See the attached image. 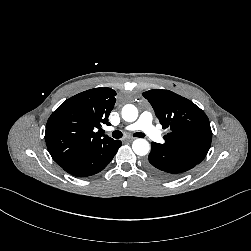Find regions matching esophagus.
<instances>
[{
	"mask_svg": "<svg viewBox=\"0 0 251 251\" xmlns=\"http://www.w3.org/2000/svg\"><path fill=\"white\" fill-rule=\"evenodd\" d=\"M135 138H133V137H128V138H126V140H128V141H133Z\"/></svg>",
	"mask_w": 251,
	"mask_h": 251,
	"instance_id": "1",
	"label": "esophagus"
}]
</instances>
